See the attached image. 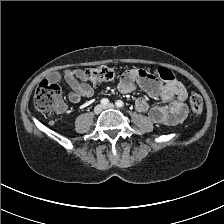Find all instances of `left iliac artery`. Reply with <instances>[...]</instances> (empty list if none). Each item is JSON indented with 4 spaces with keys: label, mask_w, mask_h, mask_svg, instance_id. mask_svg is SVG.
Listing matches in <instances>:
<instances>
[{
    "label": "left iliac artery",
    "mask_w": 224,
    "mask_h": 224,
    "mask_svg": "<svg viewBox=\"0 0 224 224\" xmlns=\"http://www.w3.org/2000/svg\"><path fill=\"white\" fill-rule=\"evenodd\" d=\"M115 104H116L117 107H120V108L124 106V103H123V101H121V100H117V101L115 102Z\"/></svg>",
    "instance_id": "obj_1"
}]
</instances>
